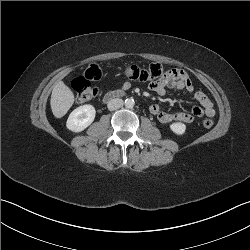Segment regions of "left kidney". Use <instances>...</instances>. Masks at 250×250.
<instances>
[{
  "instance_id": "5707ae66",
  "label": "left kidney",
  "mask_w": 250,
  "mask_h": 250,
  "mask_svg": "<svg viewBox=\"0 0 250 250\" xmlns=\"http://www.w3.org/2000/svg\"><path fill=\"white\" fill-rule=\"evenodd\" d=\"M170 129L176 135H183L186 131V125L181 122H175L170 125Z\"/></svg>"
}]
</instances>
